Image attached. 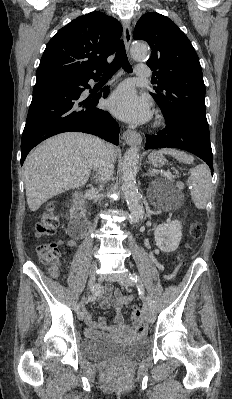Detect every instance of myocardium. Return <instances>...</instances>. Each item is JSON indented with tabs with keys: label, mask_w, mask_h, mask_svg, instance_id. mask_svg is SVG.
<instances>
[{
	"label": "myocardium",
	"mask_w": 232,
	"mask_h": 399,
	"mask_svg": "<svg viewBox=\"0 0 232 399\" xmlns=\"http://www.w3.org/2000/svg\"><path fill=\"white\" fill-rule=\"evenodd\" d=\"M165 124V120L164 117L162 116V114L158 113L155 120L153 121L151 127L154 129H158L163 127Z\"/></svg>",
	"instance_id": "1"
}]
</instances>
